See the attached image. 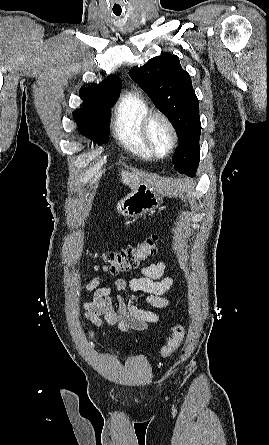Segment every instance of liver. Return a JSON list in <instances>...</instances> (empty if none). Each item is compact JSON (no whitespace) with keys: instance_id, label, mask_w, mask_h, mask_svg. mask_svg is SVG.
Returning a JSON list of instances; mask_svg holds the SVG:
<instances>
[{"instance_id":"obj_1","label":"liver","mask_w":269,"mask_h":445,"mask_svg":"<svg viewBox=\"0 0 269 445\" xmlns=\"http://www.w3.org/2000/svg\"><path fill=\"white\" fill-rule=\"evenodd\" d=\"M144 175H145L144 172L140 171H133V172L122 171L121 181L124 185H127L129 188L135 189L136 186L143 180Z\"/></svg>"}]
</instances>
